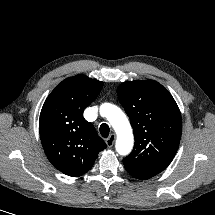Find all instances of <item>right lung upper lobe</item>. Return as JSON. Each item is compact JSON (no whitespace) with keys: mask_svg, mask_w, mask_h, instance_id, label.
Here are the masks:
<instances>
[{"mask_svg":"<svg viewBox=\"0 0 215 215\" xmlns=\"http://www.w3.org/2000/svg\"><path fill=\"white\" fill-rule=\"evenodd\" d=\"M102 87L103 82L85 75L69 77L54 88L42 107V146L51 164L68 176L86 173L106 148L94 126L83 117Z\"/></svg>","mask_w":215,"mask_h":215,"instance_id":"obj_1","label":"right lung upper lobe"}]
</instances>
